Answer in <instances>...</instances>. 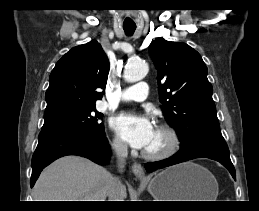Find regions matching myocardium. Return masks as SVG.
<instances>
[{"label": "myocardium", "instance_id": "1", "mask_svg": "<svg viewBox=\"0 0 259 211\" xmlns=\"http://www.w3.org/2000/svg\"><path fill=\"white\" fill-rule=\"evenodd\" d=\"M158 131H161L167 136L166 146L159 151H147L143 150L142 155L144 158L149 160H161L168 158L176 153L180 146V137L177 130L167 123H161L156 128Z\"/></svg>", "mask_w": 259, "mask_h": 211}]
</instances>
